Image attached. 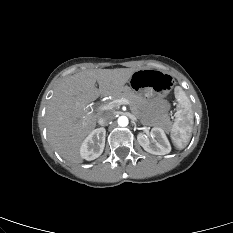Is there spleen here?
<instances>
[{
    "label": "spleen",
    "mask_w": 233,
    "mask_h": 233,
    "mask_svg": "<svg viewBox=\"0 0 233 233\" xmlns=\"http://www.w3.org/2000/svg\"><path fill=\"white\" fill-rule=\"evenodd\" d=\"M175 97L178 105L176 119L170 131L171 139L178 149H183L191 139L194 114L189 98L179 86L175 87Z\"/></svg>",
    "instance_id": "obj_1"
}]
</instances>
